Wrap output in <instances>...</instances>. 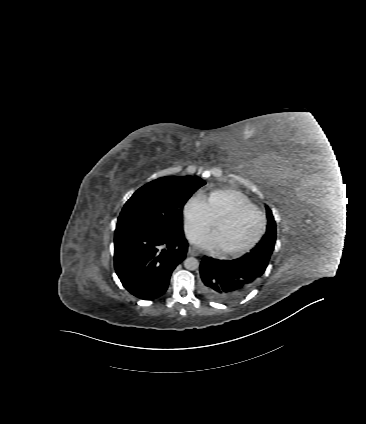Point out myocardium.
<instances>
[{
	"mask_svg": "<svg viewBox=\"0 0 366 424\" xmlns=\"http://www.w3.org/2000/svg\"><path fill=\"white\" fill-rule=\"evenodd\" d=\"M248 210H253L256 211L260 216H261V220H262V225H261V229L258 233V235L256 236V238L249 243L247 246L238 249V250H220L219 254L223 257H238L241 256L243 254H246L247 252H250L252 249H254L257 244L262 240L266 229H267V217L265 212L259 208L257 205L255 204H244L241 205L239 207H236L235 209L231 210L230 212H228L227 214L223 215L222 217L218 218L212 227V233L215 232V230L223 224L229 223L231 221H233L235 218H237L240 214H242L245 211Z\"/></svg>",
	"mask_w": 366,
	"mask_h": 424,
	"instance_id": "1",
	"label": "myocardium"
}]
</instances>
